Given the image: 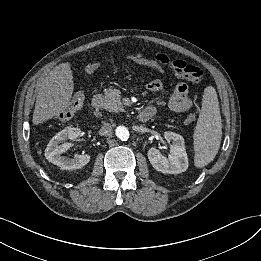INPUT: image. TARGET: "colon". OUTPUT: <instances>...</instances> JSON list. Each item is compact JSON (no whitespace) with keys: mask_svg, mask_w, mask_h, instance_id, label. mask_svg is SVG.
<instances>
[{"mask_svg":"<svg viewBox=\"0 0 261 261\" xmlns=\"http://www.w3.org/2000/svg\"><path fill=\"white\" fill-rule=\"evenodd\" d=\"M174 74L181 79L188 80L193 83H198L203 78V72L200 68L189 64L180 59H172L166 63ZM146 66L149 68H158L160 64L154 61H148ZM85 101V92L82 90L76 91L68 105V107L62 112L64 118L68 116H74L83 106ZM193 116H189L187 121L192 122Z\"/></svg>","mask_w":261,"mask_h":261,"instance_id":"1","label":"colon"}]
</instances>
